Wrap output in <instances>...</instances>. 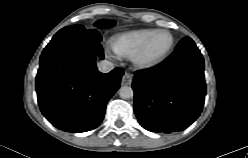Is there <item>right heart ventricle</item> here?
<instances>
[{"label":"right heart ventricle","instance_id":"obj_1","mask_svg":"<svg viewBox=\"0 0 248 158\" xmlns=\"http://www.w3.org/2000/svg\"><path fill=\"white\" fill-rule=\"evenodd\" d=\"M154 31L152 29H140L118 34L112 39V48L119 55L133 57Z\"/></svg>","mask_w":248,"mask_h":158}]
</instances>
